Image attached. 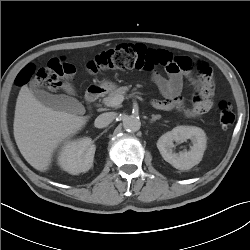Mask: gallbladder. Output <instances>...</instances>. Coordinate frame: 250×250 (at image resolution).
<instances>
[{"mask_svg":"<svg viewBox=\"0 0 250 250\" xmlns=\"http://www.w3.org/2000/svg\"><path fill=\"white\" fill-rule=\"evenodd\" d=\"M32 93L35 98L43 105L56 111H63L73 114H83L84 106L75 98L65 94L53 95L38 87L37 80H33L30 84Z\"/></svg>","mask_w":250,"mask_h":250,"instance_id":"1","label":"gallbladder"}]
</instances>
